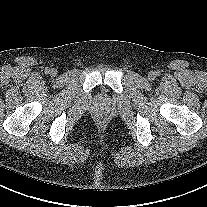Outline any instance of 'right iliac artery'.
Instances as JSON below:
<instances>
[{
	"label": "right iliac artery",
	"mask_w": 207,
	"mask_h": 207,
	"mask_svg": "<svg viewBox=\"0 0 207 207\" xmlns=\"http://www.w3.org/2000/svg\"><path fill=\"white\" fill-rule=\"evenodd\" d=\"M45 71H46V73H49L50 72V69L49 68H46Z\"/></svg>",
	"instance_id": "82829eb1"
}]
</instances>
